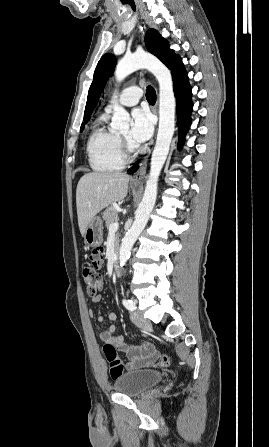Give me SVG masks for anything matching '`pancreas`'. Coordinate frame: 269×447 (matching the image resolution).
Masks as SVG:
<instances>
[{"instance_id":"1","label":"pancreas","mask_w":269,"mask_h":447,"mask_svg":"<svg viewBox=\"0 0 269 447\" xmlns=\"http://www.w3.org/2000/svg\"><path fill=\"white\" fill-rule=\"evenodd\" d=\"M118 212L113 208V206H109L105 212H103V220H105L106 227H109L110 224H113L115 220H117ZM118 239V235H116V241Z\"/></svg>"}]
</instances>
